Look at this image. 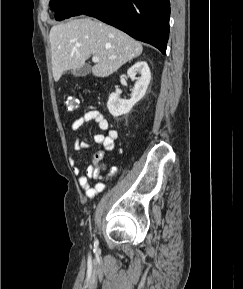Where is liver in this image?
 I'll use <instances>...</instances> for the list:
<instances>
[{"label": "liver", "instance_id": "1", "mask_svg": "<svg viewBox=\"0 0 243 289\" xmlns=\"http://www.w3.org/2000/svg\"><path fill=\"white\" fill-rule=\"evenodd\" d=\"M53 78L84 66L91 56L100 60L91 68L96 77H108L139 56L142 44L123 31L87 17L54 25L49 34Z\"/></svg>", "mask_w": 243, "mask_h": 289}]
</instances>
